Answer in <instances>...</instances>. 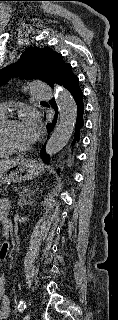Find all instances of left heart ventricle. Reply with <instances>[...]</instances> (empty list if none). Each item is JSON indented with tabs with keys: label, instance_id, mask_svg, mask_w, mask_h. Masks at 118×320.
<instances>
[{
	"label": "left heart ventricle",
	"instance_id": "b2bd125f",
	"mask_svg": "<svg viewBox=\"0 0 118 320\" xmlns=\"http://www.w3.org/2000/svg\"><path fill=\"white\" fill-rule=\"evenodd\" d=\"M6 138L15 147L29 146L21 123L10 125L6 130Z\"/></svg>",
	"mask_w": 118,
	"mask_h": 320
}]
</instances>
